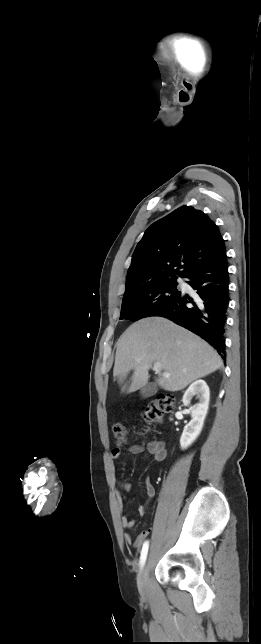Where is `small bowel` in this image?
Wrapping results in <instances>:
<instances>
[{
	"label": "small bowel",
	"mask_w": 261,
	"mask_h": 644,
	"mask_svg": "<svg viewBox=\"0 0 261 644\" xmlns=\"http://www.w3.org/2000/svg\"><path fill=\"white\" fill-rule=\"evenodd\" d=\"M121 451H122V445L120 442H117L114 449L112 450L111 457L113 460L119 459L121 456ZM128 454L130 455H138L146 452L150 456H152L153 460L156 462H161L166 458L167 455V450L165 447V444L160 441H154L151 442L147 445V447H144L140 444H133L131 445L128 450ZM116 484L118 486V494L120 498L122 499V494L121 491H129L131 488V485L127 482L123 481H116ZM145 492L147 496V500L145 503L140 504L137 507V513L140 516H143L146 512V507L148 502L154 497L155 495V488L150 482L145 483ZM121 524L123 528L125 529H130L133 528L135 525V520L129 519L127 516L123 515L121 517ZM151 528H147L143 530L141 533L138 534V536L133 540L131 535L129 533L124 534V539L127 543L133 544L134 546L138 547L140 546L143 541L149 536L151 533Z\"/></svg>",
	"instance_id": "small-bowel-1"
}]
</instances>
